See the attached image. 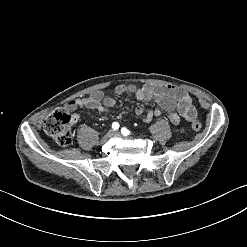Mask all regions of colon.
Wrapping results in <instances>:
<instances>
[{
    "label": "colon",
    "mask_w": 247,
    "mask_h": 247,
    "mask_svg": "<svg viewBox=\"0 0 247 247\" xmlns=\"http://www.w3.org/2000/svg\"><path fill=\"white\" fill-rule=\"evenodd\" d=\"M71 114L57 110L51 113L43 122L44 131L55 141L59 146H68L73 139L71 130L72 125ZM195 131L201 130V123L196 119L191 121Z\"/></svg>",
    "instance_id": "colon-1"
}]
</instances>
